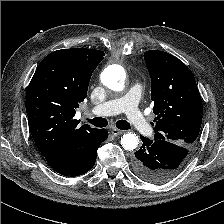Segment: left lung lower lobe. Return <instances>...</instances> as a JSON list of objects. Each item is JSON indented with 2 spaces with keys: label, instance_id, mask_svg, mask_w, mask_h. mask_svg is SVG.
Masks as SVG:
<instances>
[{
  "label": "left lung lower lobe",
  "instance_id": "0a47b994",
  "mask_svg": "<svg viewBox=\"0 0 224 224\" xmlns=\"http://www.w3.org/2000/svg\"><path fill=\"white\" fill-rule=\"evenodd\" d=\"M143 145L135 152L133 169L143 180L163 183L171 180L175 170L185 165L189 149L164 140H148L140 136Z\"/></svg>",
  "mask_w": 224,
  "mask_h": 224
}]
</instances>
